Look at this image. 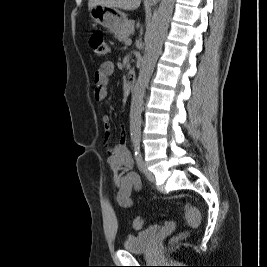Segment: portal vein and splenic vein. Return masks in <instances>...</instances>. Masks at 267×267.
<instances>
[{"label":"portal vein and splenic vein","mask_w":267,"mask_h":267,"mask_svg":"<svg viewBox=\"0 0 267 267\" xmlns=\"http://www.w3.org/2000/svg\"><path fill=\"white\" fill-rule=\"evenodd\" d=\"M125 43H126L127 45H130V44L132 43V40H131V39H127V40L125 41Z\"/></svg>","instance_id":"1"}]
</instances>
